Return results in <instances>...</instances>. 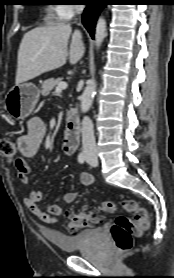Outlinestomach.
I'll return each mask as SVG.
<instances>
[{
	"instance_id": "stomach-1",
	"label": "stomach",
	"mask_w": 174,
	"mask_h": 278,
	"mask_svg": "<svg viewBox=\"0 0 174 278\" xmlns=\"http://www.w3.org/2000/svg\"><path fill=\"white\" fill-rule=\"evenodd\" d=\"M40 90L33 83H21L13 86L5 96L4 107L14 119L28 117L36 107Z\"/></svg>"
}]
</instances>
